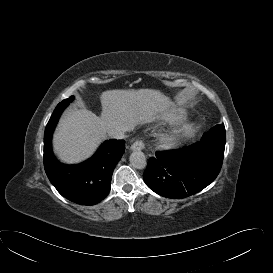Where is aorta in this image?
Listing matches in <instances>:
<instances>
[{
    "label": "aorta",
    "mask_w": 273,
    "mask_h": 273,
    "mask_svg": "<svg viewBox=\"0 0 273 273\" xmlns=\"http://www.w3.org/2000/svg\"><path fill=\"white\" fill-rule=\"evenodd\" d=\"M130 163L136 169H144L146 167V157L141 151H134L130 155Z\"/></svg>",
    "instance_id": "762f6f07"
}]
</instances>
